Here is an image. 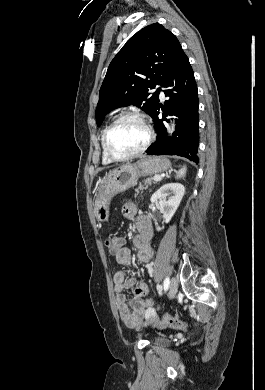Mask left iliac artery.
<instances>
[{
	"mask_svg": "<svg viewBox=\"0 0 265 390\" xmlns=\"http://www.w3.org/2000/svg\"><path fill=\"white\" fill-rule=\"evenodd\" d=\"M169 284H170V281H169V278L167 277L165 280H164V283H163V288L164 290L166 291L169 287ZM158 293L160 294L161 291H162V286L161 285H158Z\"/></svg>",
	"mask_w": 265,
	"mask_h": 390,
	"instance_id": "1",
	"label": "left iliac artery"
}]
</instances>
